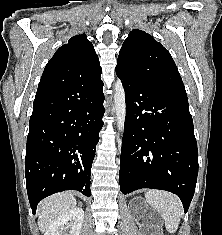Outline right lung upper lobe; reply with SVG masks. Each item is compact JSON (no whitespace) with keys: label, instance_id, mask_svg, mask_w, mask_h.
<instances>
[{"label":"right lung upper lobe","instance_id":"1","mask_svg":"<svg viewBox=\"0 0 222 235\" xmlns=\"http://www.w3.org/2000/svg\"><path fill=\"white\" fill-rule=\"evenodd\" d=\"M101 72L92 43L85 34H80L70 38L67 44L56 51L47 63L40 83L69 84L93 78Z\"/></svg>","mask_w":222,"mask_h":235}]
</instances>
